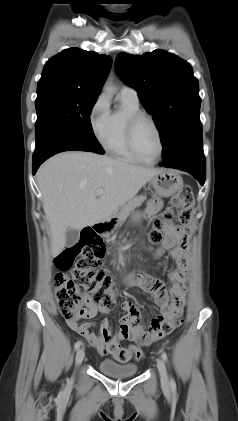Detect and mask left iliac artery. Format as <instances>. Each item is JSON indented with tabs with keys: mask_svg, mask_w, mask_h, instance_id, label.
Masks as SVG:
<instances>
[{
	"mask_svg": "<svg viewBox=\"0 0 238 421\" xmlns=\"http://www.w3.org/2000/svg\"><path fill=\"white\" fill-rule=\"evenodd\" d=\"M162 358H163L164 361L167 362L168 357H167L166 352H162ZM170 386H171V389L173 391L176 389V383H175V380L173 378L170 379Z\"/></svg>",
	"mask_w": 238,
	"mask_h": 421,
	"instance_id": "left-iliac-artery-1",
	"label": "left iliac artery"
}]
</instances>
